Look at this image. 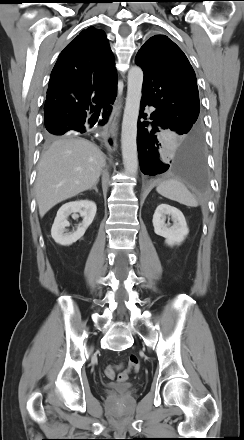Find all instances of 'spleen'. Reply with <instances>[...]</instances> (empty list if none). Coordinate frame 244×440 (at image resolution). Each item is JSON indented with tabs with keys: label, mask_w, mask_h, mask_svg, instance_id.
<instances>
[{
	"label": "spleen",
	"mask_w": 244,
	"mask_h": 440,
	"mask_svg": "<svg viewBox=\"0 0 244 440\" xmlns=\"http://www.w3.org/2000/svg\"><path fill=\"white\" fill-rule=\"evenodd\" d=\"M156 191L170 200L188 207H197L198 202L185 185L177 179H168L158 184Z\"/></svg>",
	"instance_id": "3e777b00"
}]
</instances>
